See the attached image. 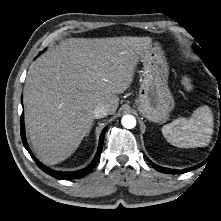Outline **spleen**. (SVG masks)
Here are the masks:
<instances>
[{
    "instance_id": "spleen-1",
    "label": "spleen",
    "mask_w": 221,
    "mask_h": 221,
    "mask_svg": "<svg viewBox=\"0 0 221 221\" xmlns=\"http://www.w3.org/2000/svg\"><path fill=\"white\" fill-rule=\"evenodd\" d=\"M213 115L208 106L197 108L190 118L180 117L162 127V134L180 148L206 146L213 133Z\"/></svg>"
}]
</instances>
